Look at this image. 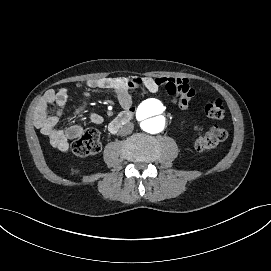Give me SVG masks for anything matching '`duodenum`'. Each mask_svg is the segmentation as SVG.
<instances>
[{"label": "duodenum", "instance_id": "410a0bca", "mask_svg": "<svg viewBox=\"0 0 271 271\" xmlns=\"http://www.w3.org/2000/svg\"><path fill=\"white\" fill-rule=\"evenodd\" d=\"M134 113L131 110H125L116 116L109 125L111 133H117L120 128L133 119Z\"/></svg>", "mask_w": 271, "mask_h": 271}]
</instances>
